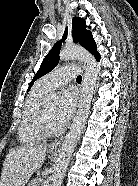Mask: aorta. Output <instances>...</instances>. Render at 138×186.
<instances>
[{
	"label": "aorta",
	"mask_w": 138,
	"mask_h": 186,
	"mask_svg": "<svg viewBox=\"0 0 138 186\" xmlns=\"http://www.w3.org/2000/svg\"><path fill=\"white\" fill-rule=\"evenodd\" d=\"M59 57L60 60L63 61L79 60L83 62L85 73L81 85L78 109L73 119V123L71 124L70 130L62 143L55 171L51 177V186H61L62 184L74 148L86 124V120L90 112V105L94 93V88L99 73V68L95 58L88 51L81 47H65L61 50ZM52 98L56 99L57 97L56 95H53Z\"/></svg>",
	"instance_id": "aorta-1"
}]
</instances>
